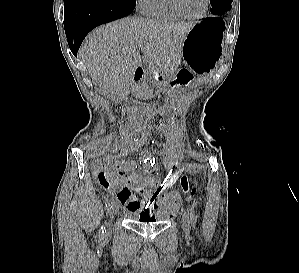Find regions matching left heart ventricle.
<instances>
[{
	"label": "left heart ventricle",
	"instance_id": "left-heart-ventricle-1",
	"mask_svg": "<svg viewBox=\"0 0 299 273\" xmlns=\"http://www.w3.org/2000/svg\"><path fill=\"white\" fill-rule=\"evenodd\" d=\"M184 11L190 15L200 14L205 6V0H180Z\"/></svg>",
	"mask_w": 299,
	"mask_h": 273
}]
</instances>
